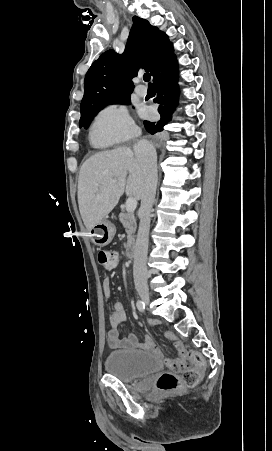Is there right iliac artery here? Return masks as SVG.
<instances>
[{
	"mask_svg": "<svg viewBox=\"0 0 272 451\" xmlns=\"http://www.w3.org/2000/svg\"><path fill=\"white\" fill-rule=\"evenodd\" d=\"M136 306L138 308L139 311L144 312L145 310V303L141 300H138L136 303Z\"/></svg>",
	"mask_w": 272,
	"mask_h": 451,
	"instance_id": "82829eb1",
	"label": "right iliac artery"
}]
</instances>
